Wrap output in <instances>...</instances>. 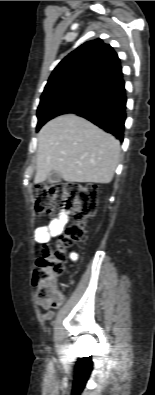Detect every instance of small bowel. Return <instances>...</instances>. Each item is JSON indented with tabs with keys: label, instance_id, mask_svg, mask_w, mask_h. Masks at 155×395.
Masks as SVG:
<instances>
[{
	"label": "small bowel",
	"instance_id": "obj_1",
	"mask_svg": "<svg viewBox=\"0 0 155 395\" xmlns=\"http://www.w3.org/2000/svg\"><path fill=\"white\" fill-rule=\"evenodd\" d=\"M67 222H68V215L65 212L59 213L47 225L41 226L36 229L35 234H34V244H36V245L45 244L51 238L58 237L62 233ZM71 259L76 260L77 254L72 253ZM52 317H53L52 311H48L45 314L46 319H51Z\"/></svg>",
	"mask_w": 155,
	"mask_h": 395
}]
</instances>
